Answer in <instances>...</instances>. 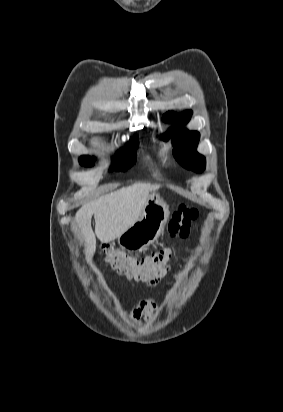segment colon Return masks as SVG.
<instances>
[{
    "mask_svg": "<svg viewBox=\"0 0 283 412\" xmlns=\"http://www.w3.org/2000/svg\"><path fill=\"white\" fill-rule=\"evenodd\" d=\"M199 217V211L188 205H180L172 214L168 224V233L172 238L188 236L190 226ZM105 260L114 270L123 276L145 282H156L168 270L171 249L163 248L151 256L136 259L112 246L104 247Z\"/></svg>",
    "mask_w": 283,
    "mask_h": 412,
    "instance_id": "5ec220e1",
    "label": "colon"
}]
</instances>
